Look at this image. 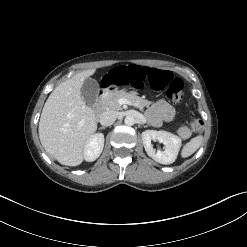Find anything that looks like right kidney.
Returning a JSON list of instances; mask_svg holds the SVG:
<instances>
[{
    "label": "right kidney",
    "instance_id": "obj_1",
    "mask_svg": "<svg viewBox=\"0 0 247 247\" xmlns=\"http://www.w3.org/2000/svg\"><path fill=\"white\" fill-rule=\"evenodd\" d=\"M104 147V135L102 133L94 134L87 142L84 148V158L88 162L95 161L102 153Z\"/></svg>",
    "mask_w": 247,
    "mask_h": 247
}]
</instances>
